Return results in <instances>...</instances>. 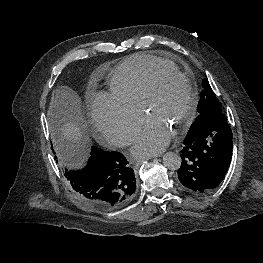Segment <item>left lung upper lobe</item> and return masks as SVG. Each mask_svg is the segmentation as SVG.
<instances>
[{
    "label": "left lung upper lobe",
    "instance_id": "5c2ea615",
    "mask_svg": "<svg viewBox=\"0 0 263 263\" xmlns=\"http://www.w3.org/2000/svg\"><path fill=\"white\" fill-rule=\"evenodd\" d=\"M203 90L201 92L200 101L198 103L197 111L198 117L192 123L188 133H194L199 130L203 122L218 111H222L218 98L214 94L207 79L202 81Z\"/></svg>",
    "mask_w": 263,
    "mask_h": 263
}]
</instances>
